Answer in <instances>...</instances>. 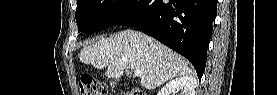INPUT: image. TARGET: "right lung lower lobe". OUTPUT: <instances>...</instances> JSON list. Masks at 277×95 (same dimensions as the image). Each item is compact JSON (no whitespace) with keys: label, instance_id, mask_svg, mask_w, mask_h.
Instances as JSON below:
<instances>
[{"label":"right lung lower lobe","instance_id":"right-lung-lower-lobe-1","mask_svg":"<svg viewBox=\"0 0 277 95\" xmlns=\"http://www.w3.org/2000/svg\"><path fill=\"white\" fill-rule=\"evenodd\" d=\"M216 9L217 0H141L116 25L140 29L183 55L200 79Z\"/></svg>","mask_w":277,"mask_h":95}]
</instances>
